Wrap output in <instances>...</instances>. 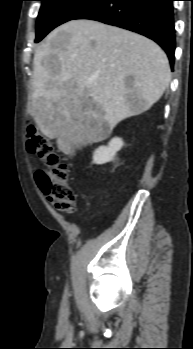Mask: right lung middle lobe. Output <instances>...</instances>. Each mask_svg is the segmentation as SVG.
<instances>
[{"instance_id": "dd1d6c3e", "label": "right lung middle lobe", "mask_w": 193, "mask_h": 349, "mask_svg": "<svg viewBox=\"0 0 193 349\" xmlns=\"http://www.w3.org/2000/svg\"><path fill=\"white\" fill-rule=\"evenodd\" d=\"M39 1H42V6L38 14L35 42H39L58 25L74 19L96 0Z\"/></svg>"}]
</instances>
